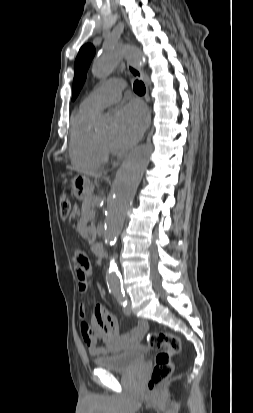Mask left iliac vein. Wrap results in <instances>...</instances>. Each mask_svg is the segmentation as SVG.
I'll return each mask as SVG.
<instances>
[{
  "label": "left iliac vein",
  "instance_id": "left-iliac-vein-1",
  "mask_svg": "<svg viewBox=\"0 0 253 413\" xmlns=\"http://www.w3.org/2000/svg\"><path fill=\"white\" fill-rule=\"evenodd\" d=\"M124 313L129 315L131 313V306H130V301L128 299V304L124 307Z\"/></svg>",
  "mask_w": 253,
  "mask_h": 413
}]
</instances>
